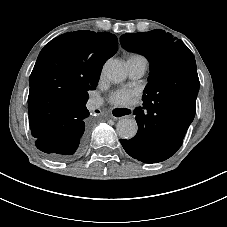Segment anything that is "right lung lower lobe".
Returning <instances> with one entry per match:
<instances>
[{"mask_svg": "<svg viewBox=\"0 0 227 227\" xmlns=\"http://www.w3.org/2000/svg\"><path fill=\"white\" fill-rule=\"evenodd\" d=\"M86 102L87 100L71 103L61 126L38 134L36 146L47 157L61 161L74 157L82 150L87 137L85 119L89 116Z\"/></svg>", "mask_w": 227, "mask_h": 227, "instance_id": "1", "label": "right lung lower lobe"}]
</instances>
